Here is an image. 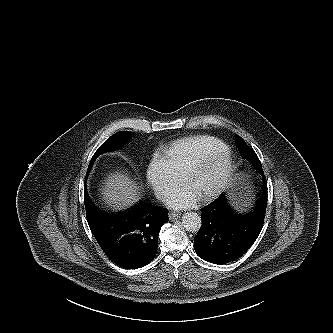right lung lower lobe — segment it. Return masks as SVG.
<instances>
[{
    "mask_svg": "<svg viewBox=\"0 0 333 333\" xmlns=\"http://www.w3.org/2000/svg\"><path fill=\"white\" fill-rule=\"evenodd\" d=\"M84 202L89 227L112 262L136 269L153 260L160 229L168 222L166 208L140 201L125 211L105 212L90 200L86 182Z\"/></svg>",
    "mask_w": 333,
    "mask_h": 333,
    "instance_id": "obj_1",
    "label": "right lung lower lobe"
}]
</instances>
